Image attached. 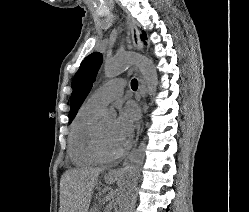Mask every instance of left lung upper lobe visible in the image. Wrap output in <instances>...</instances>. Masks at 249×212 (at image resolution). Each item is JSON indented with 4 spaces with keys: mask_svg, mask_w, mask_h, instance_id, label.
Masks as SVG:
<instances>
[{
    "mask_svg": "<svg viewBox=\"0 0 249 212\" xmlns=\"http://www.w3.org/2000/svg\"><path fill=\"white\" fill-rule=\"evenodd\" d=\"M141 39H146V34L144 32L141 35ZM101 64L102 54L98 52L88 55L82 61L74 78L73 92L70 100L69 123L72 122L79 107L90 92Z\"/></svg>",
    "mask_w": 249,
    "mask_h": 212,
    "instance_id": "1",
    "label": "left lung upper lobe"
}]
</instances>
